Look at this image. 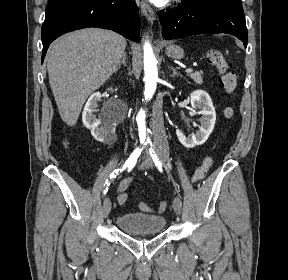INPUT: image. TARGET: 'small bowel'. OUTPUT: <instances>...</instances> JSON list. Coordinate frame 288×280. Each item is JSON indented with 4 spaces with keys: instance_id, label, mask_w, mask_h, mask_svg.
I'll use <instances>...</instances> for the list:
<instances>
[{
    "instance_id": "obj_1",
    "label": "small bowel",
    "mask_w": 288,
    "mask_h": 280,
    "mask_svg": "<svg viewBox=\"0 0 288 280\" xmlns=\"http://www.w3.org/2000/svg\"><path fill=\"white\" fill-rule=\"evenodd\" d=\"M132 182H133V178L129 177V178L124 179V180L119 184V186L117 187V189H116V194H117L118 203H119L120 205H123V204H121V202L119 201L120 197H121L122 195H126V194H125V191L128 189V187L131 185Z\"/></svg>"
}]
</instances>
